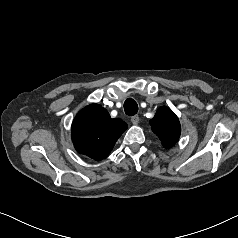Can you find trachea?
<instances>
[{"instance_id": "trachea-1", "label": "trachea", "mask_w": 238, "mask_h": 238, "mask_svg": "<svg viewBox=\"0 0 238 238\" xmlns=\"http://www.w3.org/2000/svg\"><path fill=\"white\" fill-rule=\"evenodd\" d=\"M124 111L128 116L135 115L138 112L137 103L132 98L126 99L124 102Z\"/></svg>"}]
</instances>
